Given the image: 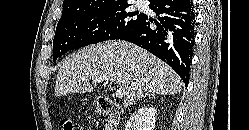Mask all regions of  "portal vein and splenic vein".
Segmentation results:
<instances>
[{"label":"portal vein and splenic vein","mask_w":249,"mask_h":130,"mask_svg":"<svg viewBox=\"0 0 249 130\" xmlns=\"http://www.w3.org/2000/svg\"><path fill=\"white\" fill-rule=\"evenodd\" d=\"M103 81H104L103 79H93V83H95V84L96 83H101ZM115 96L117 98H123V96H124V89H122V88L117 89L116 92H115Z\"/></svg>","instance_id":"1"}]
</instances>
